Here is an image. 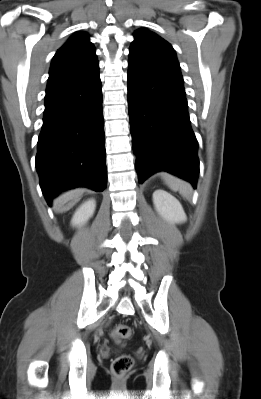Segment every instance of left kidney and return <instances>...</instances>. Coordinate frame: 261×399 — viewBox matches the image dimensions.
<instances>
[{"mask_svg": "<svg viewBox=\"0 0 261 399\" xmlns=\"http://www.w3.org/2000/svg\"><path fill=\"white\" fill-rule=\"evenodd\" d=\"M153 203L156 211L168 222L183 223L187 216L181 203L170 193L158 189L153 193Z\"/></svg>", "mask_w": 261, "mask_h": 399, "instance_id": "5707ae66", "label": "left kidney"}]
</instances>
